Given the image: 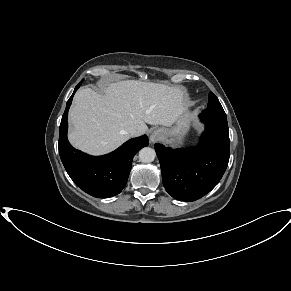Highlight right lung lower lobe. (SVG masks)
<instances>
[{
    "label": "right lung lower lobe",
    "mask_w": 291,
    "mask_h": 291,
    "mask_svg": "<svg viewBox=\"0 0 291 291\" xmlns=\"http://www.w3.org/2000/svg\"><path fill=\"white\" fill-rule=\"evenodd\" d=\"M72 96L67 101L59 132V154L73 182L84 192L97 198H109L119 194L127 183L134 155L148 145L146 135L131 139L112 153L90 156L71 146L67 139L68 110Z\"/></svg>",
    "instance_id": "1"
}]
</instances>
